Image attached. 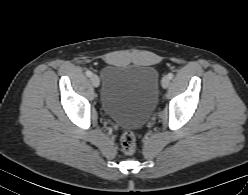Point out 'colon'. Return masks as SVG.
<instances>
[{
	"label": "colon",
	"mask_w": 248,
	"mask_h": 195,
	"mask_svg": "<svg viewBox=\"0 0 248 195\" xmlns=\"http://www.w3.org/2000/svg\"><path fill=\"white\" fill-rule=\"evenodd\" d=\"M121 150L126 155H133L136 151V136L132 131H126L121 137Z\"/></svg>",
	"instance_id": "5ec220e1"
}]
</instances>
